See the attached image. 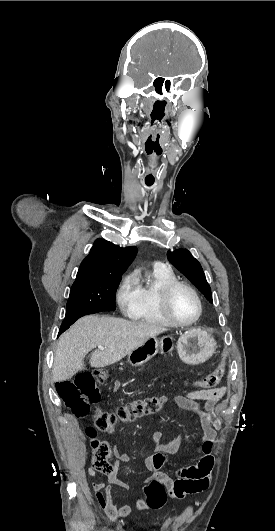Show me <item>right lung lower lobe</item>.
<instances>
[{
	"label": "right lung lower lobe",
	"mask_w": 275,
	"mask_h": 531,
	"mask_svg": "<svg viewBox=\"0 0 275 531\" xmlns=\"http://www.w3.org/2000/svg\"><path fill=\"white\" fill-rule=\"evenodd\" d=\"M68 328H69V326L61 327L60 331H59V334H61L62 332H64Z\"/></svg>",
	"instance_id": "obj_1"
}]
</instances>
